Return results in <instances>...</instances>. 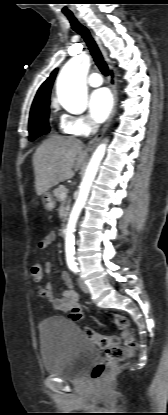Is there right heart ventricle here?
Returning <instances> with one entry per match:
<instances>
[{
    "instance_id": "right-heart-ventricle-1",
    "label": "right heart ventricle",
    "mask_w": 168,
    "mask_h": 415,
    "mask_svg": "<svg viewBox=\"0 0 168 415\" xmlns=\"http://www.w3.org/2000/svg\"><path fill=\"white\" fill-rule=\"evenodd\" d=\"M60 128H61V130H62L63 132H65V133L69 134V133L65 130V128H64V126H63V124H62V122H60Z\"/></svg>"
}]
</instances>
